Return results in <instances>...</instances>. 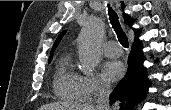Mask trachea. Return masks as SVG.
<instances>
[{
	"instance_id": "3493384b",
	"label": "trachea",
	"mask_w": 171,
	"mask_h": 110,
	"mask_svg": "<svg viewBox=\"0 0 171 110\" xmlns=\"http://www.w3.org/2000/svg\"><path fill=\"white\" fill-rule=\"evenodd\" d=\"M107 6H108V14H109L110 23L112 27L114 28V31L117 34L118 40L123 47L128 48L129 46L128 38L121 28V25L118 21V16L115 13V11L110 7L109 4Z\"/></svg>"
}]
</instances>
